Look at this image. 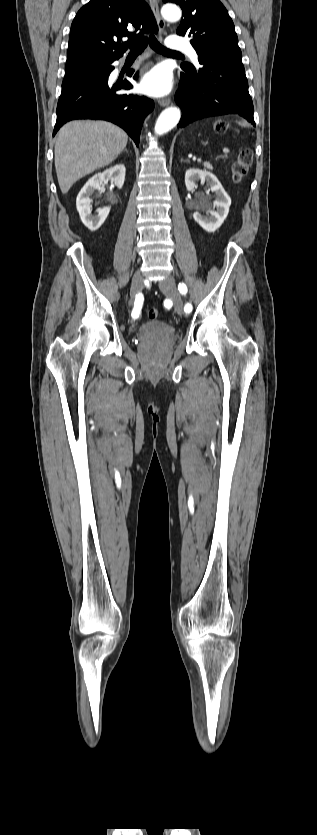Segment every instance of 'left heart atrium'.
<instances>
[{
    "mask_svg": "<svg viewBox=\"0 0 317 835\" xmlns=\"http://www.w3.org/2000/svg\"><path fill=\"white\" fill-rule=\"evenodd\" d=\"M171 86L169 71L164 67L157 66L143 76L139 89L145 94L158 97L169 93Z\"/></svg>",
    "mask_w": 317,
    "mask_h": 835,
    "instance_id": "obj_1",
    "label": "left heart atrium"
}]
</instances>
